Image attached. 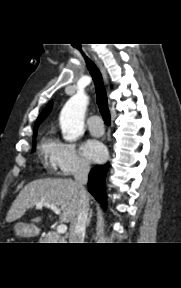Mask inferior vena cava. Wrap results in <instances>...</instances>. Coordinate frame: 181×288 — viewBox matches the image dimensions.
<instances>
[{
    "label": "inferior vena cava",
    "instance_id": "obj_1",
    "mask_svg": "<svg viewBox=\"0 0 181 288\" xmlns=\"http://www.w3.org/2000/svg\"><path fill=\"white\" fill-rule=\"evenodd\" d=\"M90 166L81 163L74 175L75 182L79 189V200L77 207V215L70 224L69 243H83L85 229L88 220L89 199L84 185L87 184Z\"/></svg>",
    "mask_w": 181,
    "mask_h": 288
}]
</instances>
